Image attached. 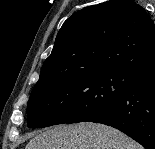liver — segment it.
<instances>
[{
    "instance_id": "1",
    "label": "liver",
    "mask_w": 155,
    "mask_h": 149,
    "mask_svg": "<svg viewBox=\"0 0 155 149\" xmlns=\"http://www.w3.org/2000/svg\"><path fill=\"white\" fill-rule=\"evenodd\" d=\"M25 149H143L119 130L97 123L55 126L35 135Z\"/></svg>"
}]
</instances>
